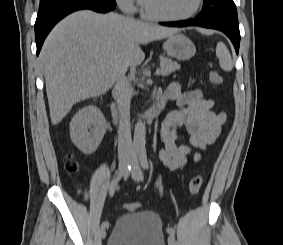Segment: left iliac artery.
Returning <instances> with one entry per match:
<instances>
[{"label": "left iliac artery", "mask_w": 283, "mask_h": 245, "mask_svg": "<svg viewBox=\"0 0 283 245\" xmlns=\"http://www.w3.org/2000/svg\"><path fill=\"white\" fill-rule=\"evenodd\" d=\"M138 155H139V161H140L142 168L148 169L149 164H148L146 150L144 148L140 149L139 152H138ZM158 183H159L160 192L162 193L163 187H162V184H161V179L158 180ZM167 233L170 234V235H175V229L173 227H168Z\"/></svg>", "instance_id": "44dca946"}]
</instances>
